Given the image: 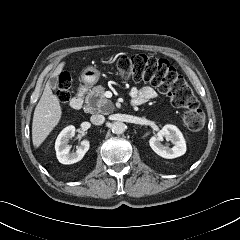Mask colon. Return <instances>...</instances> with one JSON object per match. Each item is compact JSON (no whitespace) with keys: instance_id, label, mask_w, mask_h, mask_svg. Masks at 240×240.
Returning <instances> with one entry per match:
<instances>
[{"instance_id":"obj_1","label":"colon","mask_w":240,"mask_h":240,"mask_svg":"<svg viewBox=\"0 0 240 240\" xmlns=\"http://www.w3.org/2000/svg\"><path fill=\"white\" fill-rule=\"evenodd\" d=\"M117 66L123 78L149 83L167 95L174 106L184 108L183 120L190 130L203 128L205 116L191 87L166 60L137 54L122 57ZM70 87L69 74L62 73L57 86V98L61 103L69 101Z\"/></svg>"}]
</instances>
